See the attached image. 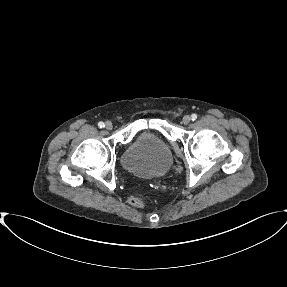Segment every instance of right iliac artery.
I'll list each match as a JSON object with an SVG mask.
<instances>
[{"label":"right iliac artery","instance_id":"right-iliac-artery-1","mask_svg":"<svg viewBox=\"0 0 287 287\" xmlns=\"http://www.w3.org/2000/svg\"><path fill=\"white\" fill-rule=\"evenodd\" d=\"M98 126H99V128H103V127H105V125H104V123H103V122H99V123H98Z\"/></svg>","mask_w":287,"mask_h":287}]
</instances>
